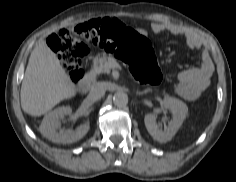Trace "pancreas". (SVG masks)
<instances>
[{
	"label": "pancreas",
	"instance_id": "cf45deb5",
	"mask_svg": "<svg viewBox=\"0 0 236 182\" xmlns=\"http://www.w3.org/2000/svg\"><path fill=\"white\" fill-rule=\"evenodd\" d=\"M111 69H112V65L110 63V57L107 56L106 54H98L93 59L92 72L94 74L110 73Z\"/></svg>",
	"mask_w": 236,
	"mask_h": 182
}]
</instances>
